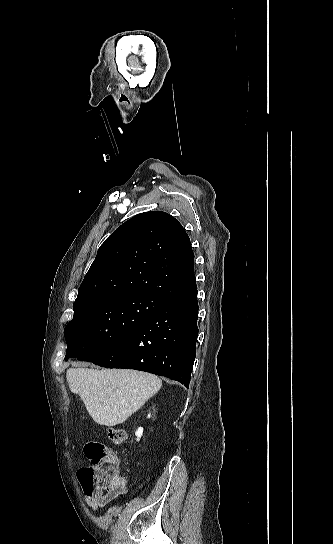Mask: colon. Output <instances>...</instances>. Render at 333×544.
<instances>
[{
    "mask_svg": "<svg viewBox=\"0 0 333 544\" xmlns=\"http://www.w3.org/2000/svg\"><path fill=\"white\" fill-rule=\"evenodd\" d=\"M108 439L115 445L122 444L126 432L119 427H110ZM84 453L91 462L90 466L79 469L77 474L84 491L109 490L120 483V461L112 450L100 442L90 441L85 445Z\"/></svg>",
    "mask_w": 333,
    "mask_h": 544,
    "instance_id": "colon-1",
    "label": "colon"
}]
</instances>
